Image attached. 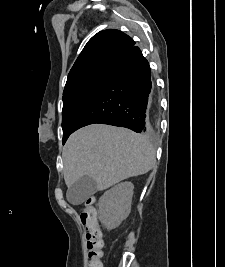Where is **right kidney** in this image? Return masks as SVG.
Returning <instances> with one entry per match:
<instances>
[{"mask_svg": "<svg viewBox=\"0 0 225 267\" xmlns=\"http://www.w3.org/2000/svg\"><path fill=\"white\" fill-rule=\"evenodd\" d=\"M134 186L131 182H122L106 191L99 200V220L112 230L125 220L131 211Z\"/></svg>", "mask_w": 225, "mask_h": 267, "instance_id": "1", "label": "right kidney"}]
</instances>
